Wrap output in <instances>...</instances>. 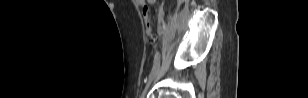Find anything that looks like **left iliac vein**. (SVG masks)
<instances>
[{"instance_id":"4c4485c4","label":"left iliac vein","mask_w":308,"mask_h":98,"mask_svg":"<svg viewBox=\"0 0 308 98\" xmlns=\"http://www.w3.org/2000/svg\"><path fill=\"white\" fill-rule=\"evenodd\" d=\"M155 76H156V73L149 77L148 83H147V85L145 87V90L143 91L142 98H145V94H146V92H147L151 82L154 80Z\"/></svg>"}]
</instances>
